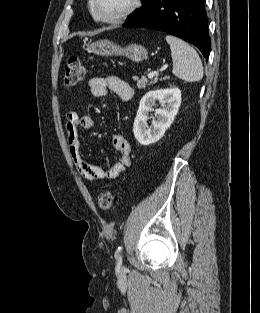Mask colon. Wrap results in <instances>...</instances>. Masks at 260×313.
Listing matches in <instances>:
<instances>
[{
  "label": "colon",
  "mask_w": 260,
  "mask_h": 313,
  "mask_svg": "<svg viewBox=\"0 0 260 313\" xmlns=\"http://www.w3.org/2000/svg\"><path fill=\"white\" fill-rule=\"evenodd\" d=\"M86 76V69L79 57L71 56L67 59L64 68V85L74 87L81 83ZM113 195L110 191H103L98 195V206L101 210L108 211L113 205Z\"/></svg>",
  "instance_id": "colon-1"
}]
</instances>
